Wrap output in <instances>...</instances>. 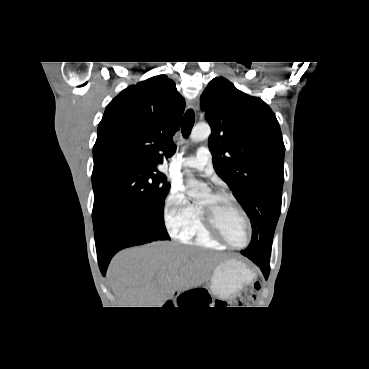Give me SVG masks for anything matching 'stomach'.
Listing matches in <instances>:
<instances>
[{
  "label": "stomach",
  "mask_w": 369,
  "mask_h": 369,
  "mask_svg": "<svg viewBox=\"0 0 369 369\" xmlns=\"http://www.w3.org/2000/svg\"><path fill=\"white\" fill-rule=\"evenodd\" d=\"M252 279V272L242 262L227 260L214 269L210 289L214 295L229 299Z\"/></svg>",
  "instance_id": "stomach-1"
}]
</instances>
